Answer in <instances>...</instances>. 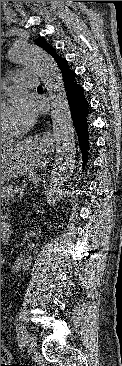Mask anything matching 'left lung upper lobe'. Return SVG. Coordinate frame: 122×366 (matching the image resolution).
I'll use <instances>...</instances> for the list:
<instances>
[{"label":"left lung upper lobe","instance_id":"left-lung-upper-lobe-1","mask_svg":"<svg viewBox=\"0 0 122 366\" xmlns=\"http://www.w3.org/2000/svg\"><path fill=\"white\" fill-rule=\"evenodd\" d=\"M36 44L48 52L55 59V61L61 58L57 54L56 49L50 46L42 37L36 39Z\"/></svg>","mask_w":122,"mask_h":366}]
</instances>
